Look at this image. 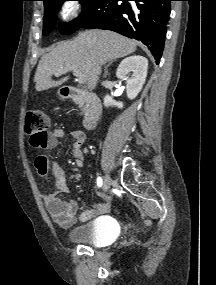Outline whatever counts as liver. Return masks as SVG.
<instances>
[{"instance_id": "6515ba94", "label": "liver", "mask_w": 216, "mask_h": 285, "mask_svg": "<svg viewBox=\"0 0 216 285\" xmlns=\"http://www.w3.org/2000/svg\"><path fill=\"white\" fill-rule=\"evenodd\" d=\"M136 45L135 41L111 31L81 32L72 41L58 44L41 57L34 77L35 89L40 92L63 84L68 77L53 81L52 75L61 69L68 72L76 68L86 75L88 88L93 90L101 66L133 53Z\"/></svg>"}]
</instances>
